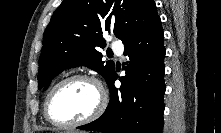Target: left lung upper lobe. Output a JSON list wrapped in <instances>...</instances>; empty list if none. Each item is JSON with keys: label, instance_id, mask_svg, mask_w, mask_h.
Wrapping results in <instances>:
<instances>
[{"label": "left lung upper lobe", "instance_id": "5c2ea615", "mask_svg": "<svg viewBox=\"0 0 221 133\" xmlns=\"http://www.w3.org/2000/svg\"><path fill=\"white\" fill-rule=\"evenodd\" d=\"M158 18L154 0H63L44 33L38 89L66 68L83 65L108 82L115 69L98 51L105 47L103 32H113L124 44Z\"/></svg>", "mask_w": 221, "mask_h": 133}]
</instances>
